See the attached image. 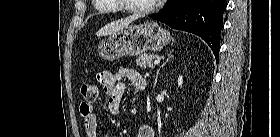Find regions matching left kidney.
I'll use <instances>...</instances> for the list:
<instances>
[{"mask_svg": "<svg viewBox=\"0 0 280 137\" xmlns=\"http://www.w3.org/2000/svg\"><path fill=\"white\" fill-rule=\"evenodd\" d=\"M182 83H183V77L182 76H179L178 78V86H182Z\"/></svg>", "mask_w": 280, "mask_h": 137, "instance_id": "left-kidney-1", "label": "left kidney"}]
</instances>
